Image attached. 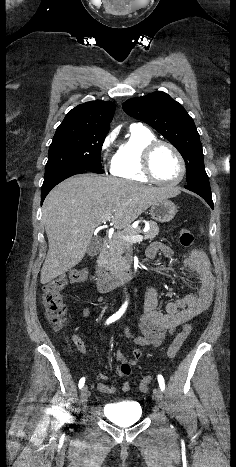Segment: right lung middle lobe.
Listing matches in <instances>:
<instances>
[{"mask_svg": "<svg viewBox=\"0 0 236 467\" xmlns=\"http://www.w3.org/2000/svg\"><path fill=\"white\" fill-rule=\"evenodd\" d=\"M106 134L57 129L49 147L45 176L73 168L102 174L101 148Z\"/></svg>", "mask_w": 236, "mask_h": 467, "instance_id": "1", "label": "right lung middle lobe"}]
</instances>
